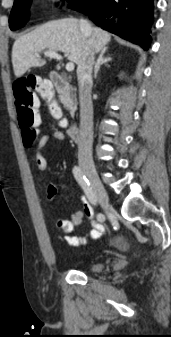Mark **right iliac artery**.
<instances>
[{
    "instance_id": "1",
    "label": "right iliac artery",
    "mask_w": 171,
    "mask_h": 337,
    "mask_svg": "<svg viewBox=\"0 0 171 337\" xmlns=\"http://www.w3.org/2000/svg\"><path fill=\"white\" fill-rule=\"evenodd\" d=\"M73 175H74L75 179L77 180V182L82 187V189H83L85 195L87 196V198L89 199V201L92 204L96 205L97 199H96V196L94 194V191H93L92 187L90 186V183H89L88 179L83 174L81 168L78 167V166H75L73 168ZM97 219H98V221L103 222L105 220L104 214L98 213Z\"/></svg>"
}]
</instances>
